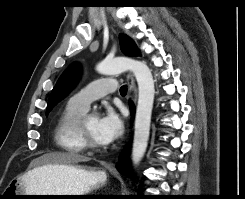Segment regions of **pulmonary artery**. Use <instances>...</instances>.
I'll use <instances>...</instances> for the list:
<instances>
[{
  "instance_id": "e3ab8cb5",
  "label": "pulmonary artery",
  "mask_w": 245,
  "mask_h": 199,
  "mask_svg": "<svg viewBox=\"0 0 245 199\" xmlns=\"http://www.w3.org/2000/svg\"><path fill=\"white\" fill-rule=\"evenodd\" d=\"M117 88V81L113 79H100L90 83L77 94L72 96L69 103L73 106L87 111L90 104L107 95L113 93Z\"/></svg>"
}]
</instances>
